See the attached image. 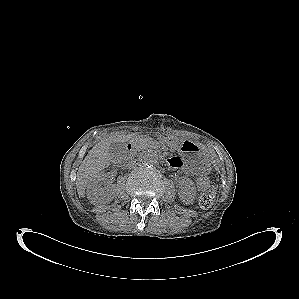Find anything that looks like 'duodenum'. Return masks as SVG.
Masks as SVG:
<instances>
[{
    "instance_id": "1",
    "label": "duodenum",
    "mask_w": 299,
    "mask_h": 299,
    "mask_svg": "<svg viewBox=\"0 0 299 299\" xmlns=\"http://www.w3.org/2000/svg\"><path fill=\"white\" fill-rule=\"evenodd\" d=\"M127 151L129 154L134 153L135 151V144L133 142L128 143L127 145Z\"/></svg>"
}]
</instances>
